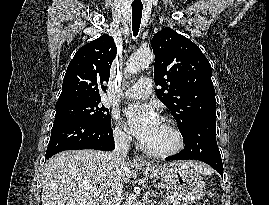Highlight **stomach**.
Instances as JSON below:
<instances>
[{
  "label": "stomach",
  "instance_id": "obj_1",
  "mask_svg": "<svg viewBox=\"0 0 269 205\" xmlns=\"http://www.w3.org/2000/svg\"><path fill=\"white\" fill-rule=\"evenodd\" d=\"M141 169L151 178L166 182L181 205H190L202 199L206 193L205 183L200 173L184 162L147 164Z\"/></svg>",
  "mask_w": 269,
  "mask_h": 205
}]
</instances>
